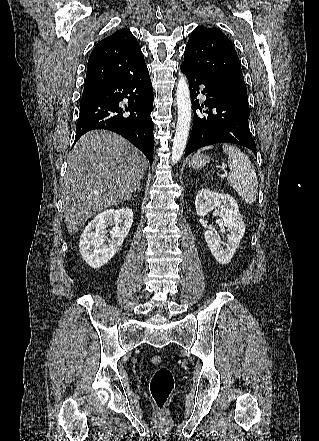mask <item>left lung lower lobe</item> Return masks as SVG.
I'll use <instances>...</instances> for the list:
<instances>
[{
	"label": "left lung lower lobe",
	"instance_id": "0a47b994",
	"mask_svg": "<svg viewBox=\"0 0 319 441\" xmlns=\"http://www.w3.org/2000/svg\"><path fill=\"white\" fill-rule=\"evenodd\" d=\"M181 71L186 75L192 97L194 124L187 144L185 157L193 151L216 143H234L252 150L256 154V144L249 130V103L238 96L223 82L194 70L184 63ZM203 89L199 91V86ZM206 94L204 104L196 99L198 94ZM207 107V115L198 116L196 109Z\"/></svg>",
	"mask_w": 319,
	"mask_h": 441
}]
</instances>
